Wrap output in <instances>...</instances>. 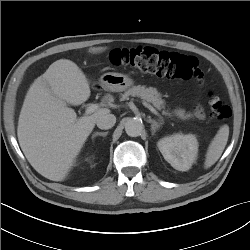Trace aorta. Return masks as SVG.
<instances>
[{"instance_id":"1","label":"aorta","mask_w":250,"mask_h":250,"mask_svg":"<svg viewBox=\"0 0 250 250\" xmlns=\"http://www.w3.org/2000/svg\"><path fill=\"white\" fill-rule=\"evenodd\" d=\"M143 124L138 119L130 118L125 123V131L128 136L137 137L141 135Z\"/></svg>"}]
</instances>
